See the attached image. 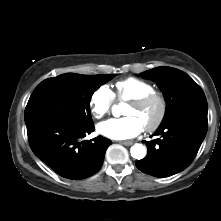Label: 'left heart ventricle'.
I'll return each mask as SVG.
<instances>
[{"label": "left heart ventricle", "mask_w": 221, "mask_h": 221, "mask_svg": "<svg viewBox=\"0 0 221 221\" xmlns=\"http://www.w3.org/2000/svg\"><path fill=\"white\" fill-rule=\"evenodd\" d=\"M158 113H159V105L156 102H153L141 108L128 105L124 110L125 116L136 117L141 122L143 127L152 124L157 118Z\"/></svg>", "instance_id": "1"}]
</instances>
